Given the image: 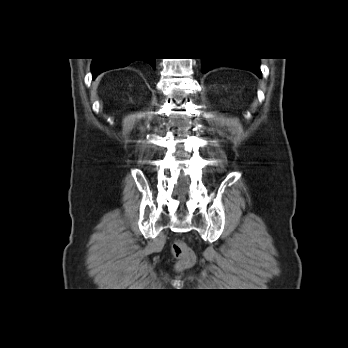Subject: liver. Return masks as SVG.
Returning <instances> with one entry per match:
<instances>
[{
	"label": "liver",
	"mask_w": 348,
	"mask_h": 348,
	"mask_svg": "<svg viewBox=\"0 0 348 348\" xmlns=\"http://www.w3.org/2000/svg\"><path fill=\"white\" fill-rule=\"evenodd\" d=\"M100 78H101V76L98 77V79L96 80V82L93 83V87H94V88H96V87L98 86L99 81H100Z\"/></svg>",
	"instance_id": "6515ba94"
}]
</instances>
